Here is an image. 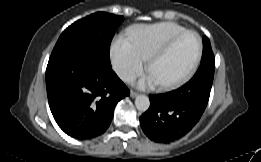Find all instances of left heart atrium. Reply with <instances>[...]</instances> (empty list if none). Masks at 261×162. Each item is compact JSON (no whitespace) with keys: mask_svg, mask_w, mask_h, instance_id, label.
Masks as SVG:
<instances>
[{"mask_svg":"<svg viewBox=\"0 0 261 162\" xmlns=\"http://www.w3.org/2000/svg\"><path fill=\"white\" fill-rule=\"evenodd\" d=\"M156 83H158V82L149 74L148 76H146L142 80H140L138 85L141 88H146V87H150Z\"/></svg>","mask_w":261,"mask_h":162,"instance_id":"obj_1","label":"left heart atrium"}]
</instances>
